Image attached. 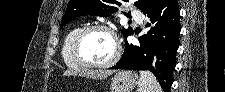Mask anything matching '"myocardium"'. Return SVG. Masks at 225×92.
I'll return each mask as SVG.
<instances>
[{
  "instance_id": "1",
  "label": "myocardium",
  "mask_w": 225,
  "mask_h": 92,
  "mask_svg": "<svg viewBox=\"0 0 225 92\" xmlns=\"http://www.w3.org/2000/svg\"><path fill=\"white\" fill-rule=\"evenodd\" d=\"M95 30L107 32L111 36L114 42V47H115L114 55L110 60L104 63H93L89 61L82 55L80 50V45L83 38L88 33ZM70 50L76 63L81 67L89 68V69H106V68L112 67L118 62L121 56V44H120L118 36L116 35V33L111 27L105 24H100V23H94V24H90L88 26L82 27L73 37V40L70 45Z\"/></svg>"
}]
</instances>
